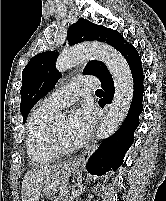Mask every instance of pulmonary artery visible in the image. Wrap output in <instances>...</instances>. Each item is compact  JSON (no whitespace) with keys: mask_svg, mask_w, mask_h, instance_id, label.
<instances>
[{"mask_svg":"<svg viewBox=\"0 0 166 201\" xmlns=\"http://www.w3.org/2000/svg\"><path fill=\"white\" fill-rule=\"evenodd\" d=\"M99 85L94 78L76 79L46 97L43 105L55 111L60 110L73 104L83 93L98 88Z\"/></svg>","mask_w":166,"mask_h":201,"instance_id":"obj_1","label":"pulmonary artery"}]
</instances>
